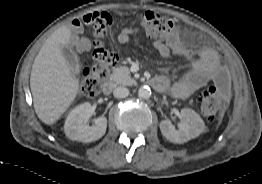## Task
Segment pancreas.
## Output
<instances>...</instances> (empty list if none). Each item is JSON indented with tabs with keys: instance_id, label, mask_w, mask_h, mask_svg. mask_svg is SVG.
I'll return each mask as SVG.
<instances>
[{
	"instance_id": "obj_1",
	"label": "pancreas",
	"mask_w": 262,
	"mask_h": 184,
	"mask_svg": "<svg viewBox=\"0 0 262 184\" xmlns=\"http://www.w3.org/2000/svg\"><path fill=\"white\" fill-rule=\"evenodd\" d=\"M111 80L115 85H133L135 80L131 77L130 70L128 67H117L113 69Z\"/></svg>"
}]
</instances>
